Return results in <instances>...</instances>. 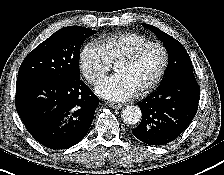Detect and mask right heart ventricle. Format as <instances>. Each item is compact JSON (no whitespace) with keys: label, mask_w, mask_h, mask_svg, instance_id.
Returning a JSON list of instances; mask_svg holds the SVG:
<instances>
[{"label":"right heart ventricle","mask_w":224,"mask_h":175,"mask_svg":"<svg viewBox=\"0 0 224 175\" xmlns=\"http://www.w3.org/2000/svg\"><path fill=\"white\" fill-rule=\"evenodd\" d=\"M150 40L137 32H118L100 40L99 46L104 51L110 63H115L132 52L138 46Z\"/></svg>","instance_id":"right-heart-ventricle-1"}]
</instances>
